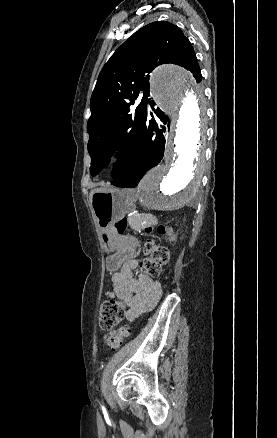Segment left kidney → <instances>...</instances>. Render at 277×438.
<instances>
[{
  "mask_svg": "<svg viewBox=\"0 0 277 438\" xmlns=\"http://www.w3.org/2000/svg\"><path fill=\"white\" fill-rule=\"evenodd\" d=\"M169 242H174L175 238L173 236V238H168Z\"/></svg>",
  "mask_w": 277,
  "mask_h": 438,
  "instance_id": "1",
  "label": "left kidney"
}]
</instances>
